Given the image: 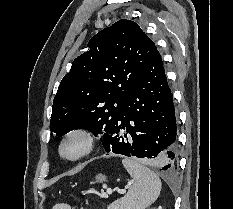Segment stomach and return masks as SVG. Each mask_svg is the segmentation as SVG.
I'll list each match as a JSON object with an SVG mask.
<instances>
[{
  "mask_svg": "<svg viewBox=\"0 0 233 209\" xmlns=\"http://www.w3.org/2000/svg\"><path fill=\"white\" fill-rule=\"evenodd\" d=\"M105 180H106V176L103 175V174H98V175L96 176V181H97V182H104Z\"/></svg>",
  "mask_w": 233,
  "mask_h": 209,
  "instance_id": "1",
  "label": "stomach"
}]
</instances>
